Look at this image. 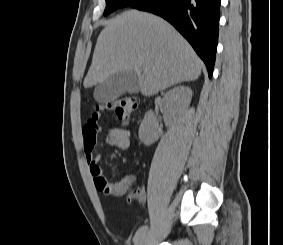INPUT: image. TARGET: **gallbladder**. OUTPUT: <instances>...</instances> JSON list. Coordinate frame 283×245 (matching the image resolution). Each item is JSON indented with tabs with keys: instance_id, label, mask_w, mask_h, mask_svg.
Instances as JSON below:
<instances>
[{
	"instance_id": "obj_1",
	"label": "gallbladder",
	"mask_w": 283,
	"mask_h": 245,
	"mask_svg": "<svg viewBox=\"0 0 283 245\" xmlns=\"http://www.w3.org/2000/svg\"><path fill=\"white\" fill-rule=\"evenodd\" d=\"M139 90V82L134 74L121 71L99 83L94 90V98L97 102L106 104L115 101L126 92L138 93Z\"/></svg>"
}]
</instances>
